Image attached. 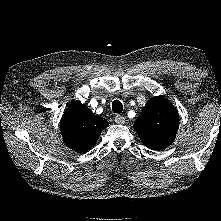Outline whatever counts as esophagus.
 Returning a JSON list of instances; mask_svg holds the SVG:
<instances>
[{
	"label": "esophagus",
	"mask_w": 221,
	"mask_h": 221,
	"mask_svg": "<svg viewBox=\"0 0 221 221\" xmlns=\"http://www.w3.org/2000/svg\"><path fill=\"white\" fill-rule=\"evenodd\" d=\"M114 119L117 124H124L125 123V117L122 115L117 114V115H115Z\"/></svg>",
	"instance_id": "34e87169"
}]
</instances>
